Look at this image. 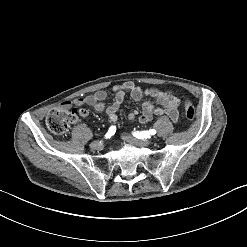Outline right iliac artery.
<instances>
[{
	"instance_id": "82829eb1",
	"label": "right iliac artery",
	"mask_w": 247,
	"mask_h": 247,
	"mask_svg": "<svg viewBox=\"0 0 247 247\" xmlns=\"http://www.w3.org/2000/svg\"><path fill=\"white\" fill-rule=\"evenodd\" d=\"M116 132V127L115 126H111L108 130V132L106 133L105 137L106 138H111V136H113Z\"/></svg>"
}]
</instances>
